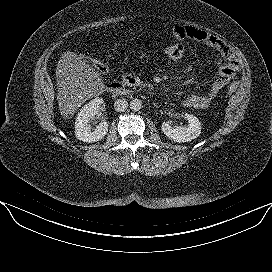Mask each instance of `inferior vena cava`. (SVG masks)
<instances>
[{"label":"inferior vena cava","mask_w":272,"mask_h":272,"mask_svg":"<svg viewBox=\"0 0 272 272\" xmlns=\"http://www.w3.org/2000/svg\"><path fill=\"white\" fill-rule=\"evenodd\" d=\"M128 108L126 99H117L114 103V109L117 112H124Z\"/></svg>","instance_id":"inferior-vena-cava-1"}]
</instances>
